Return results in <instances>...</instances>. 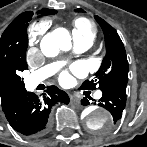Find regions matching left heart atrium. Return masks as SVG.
Here are the masks:
<instances>
[{"mask_svg":"<svg viewBox=\"0 0 147 147\" xmlns=\"http://www.w3.org/2000/svg\"><path fill=\"white\" fill-rule=\"evenodd\" d=\"M79 70H80V66L78 65H75L71 68L72 72H79ZM59 79L62 84H68L71 80V75L68 71H64L61 73Z\"/></svg>","mask_w":147,"mask_h":147,"instance_id":"1","label":"left heart atrium"}]
</instances>
